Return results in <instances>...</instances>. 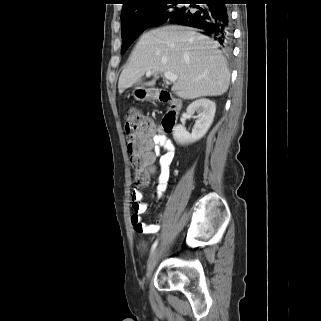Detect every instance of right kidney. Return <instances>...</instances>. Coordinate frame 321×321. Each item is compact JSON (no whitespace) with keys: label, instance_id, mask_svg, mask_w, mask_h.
<instances>
[{"label":"right kidney","instance_id":"right-kidney-1","mask_svg":"<svg viewBox=\"0 0 321 321\" xmlns=\"http://www.w3.org/2000/svg\"><path fill=\"white\" fill-rule=\"evenodd\" d=\"M186 111L190 116L196 112L198 119L192 129V133L186 131L183 125L179 124L175 127L173 137L179 144L193 143L207 133L215 116L216 105L213 101L202 98L192 102Z\"/></svg>","mask_w":321,"mask_h":321}]
</instances>
